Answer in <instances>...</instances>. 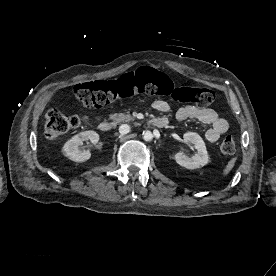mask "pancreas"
Segmentation results:
<instances>
[{
    "mask_svg": "<svg viewBox=\"0 0 276 276\" xmlns=\"http://www.w3.org/2000/svg\"><path fill=\"white\" fill-rule=\"evenodd\" d=\"M110 119L113 121V125H116L119 122H129L134 120V117H132L130 114L119 113L110 115Z\"/></svg>",
    "mask_w": 276,
    "mask_h": 276,
    "instance_id": "1",
    "label": "pancreas"
}]
</instances>
